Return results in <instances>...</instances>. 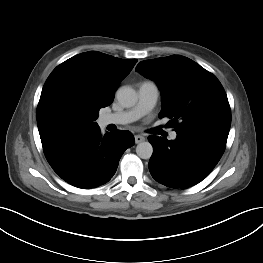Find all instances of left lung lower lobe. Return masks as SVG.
I'll list each match as a JSON object with an SVG mask.
<instances>
[{
    "instance_id": "0a47b994",
    "label": "left lung lower lobe",
    "mask_w": 263,
    "mask_h": 263,
    "mask_svg": "<svg viewBox=\"0 0 263 263\" xmlns=\"http://www.w3.org/2000/svg\"><path fill=\"white\" fill-rule=\"evenodd\" d=\"M174 141L150 135L154 152L149 171L159 183L186 189L202 181L220 160L229 132L176 131Z\"/></svg>"
}]
</instances>
